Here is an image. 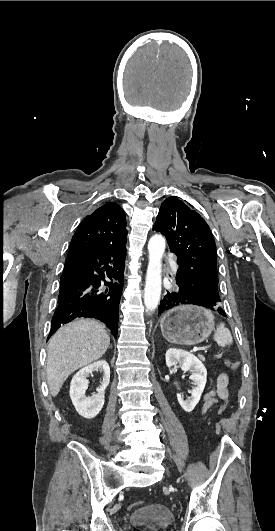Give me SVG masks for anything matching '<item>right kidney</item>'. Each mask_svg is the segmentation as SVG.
<instances>
[{"label":"right kidney","instance_id":"ca27d5eb","mask_svg":"<svg viewBox=\"0 0 275 531\" xmlns=\"http://www.w3.org/2000/svg\"><path fill=\"white\" fill-rule=\"evenodd\" d=\"M93 371H102L104 377L101 383V387L96 389V395L93 397H86L85 391L88 389V381L86 377H89ZM110 381V367L107 361H96L84 369H80L76 375H74L70 385V399L81 417L85 419H93L98 413H100L104 405L105 389L108 387Z\"/></svg>","mask_w":275,"mask_h":531}]
</instances>
